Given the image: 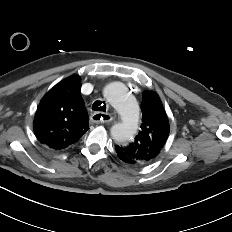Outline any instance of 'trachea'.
<instances>
[{"label":"trachea","instance_id":"obj_1","mask_svg":"<svg viewBox=\"0 0 232 232\" xmlns=\"http://www.w3.org/2000/svg\"><path fill=\"white\" fill-rule=\"evenodd\" d=\"M92 110L105 112L106 111L105 101H95L92 105Z\"/></svg>","mask_w":232,"mask_h":232}]
</instances>
